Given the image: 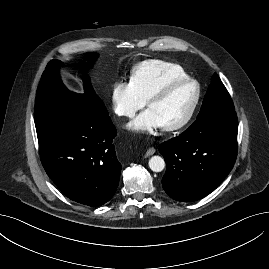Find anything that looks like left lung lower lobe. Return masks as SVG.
Listing matches in <instances>:
<instances>
[{
    "label": "left lung lower lobe",
    "instance_id": "obj_1",
    "mask_svg": "<svg viewBox=\"0 0 269 269\" xmlns=\"http://www.w3.org/2000/svg\"><path fill=\"white\" fill-rule=\"evenodd\" d=\"M236 112L199 118L180 136L159 147L167 169L165 192L174 200H199L215 190L237 156Z\"/></svg>",
    "mask_w": 269,
    "mask_h": 269
}]
</instances>
